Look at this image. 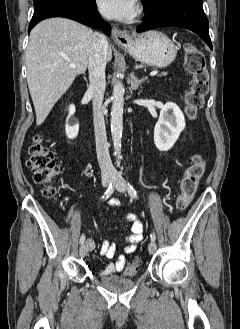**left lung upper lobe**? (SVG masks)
Here are the masks:
<instances>
[{"label":"left lung upper lobe","instance_id":"obj_1","mask_svg":"<svg viewBox=\"0 0 240 329\" xmlns=\"http://www.w3.org/2000/svg\"><path fill=\"white\" fill-rule=\"evenodd\" d=\"M166 0H142L146 7H157L159 4L165 2Z\"/></svg>","mask_w":240,"mask_h":329}]
</instances>
